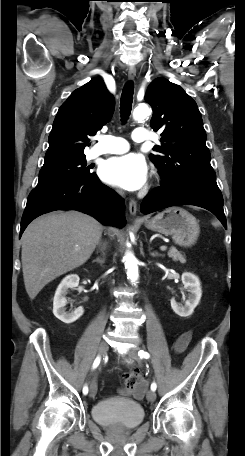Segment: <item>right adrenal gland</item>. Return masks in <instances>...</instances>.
I'll use <instances>...</instances> for the list:
<instances>
[{"mask_svg": "<svg viewBox=\"0 0 245 456\" xmlns=\"http://www.w3.org/2000/svg\"><path fill=\"white\" fill-rule=\"evenodd\" d=\"M102 255H103V257L105 256V253H104L103 251H102ZM94 261H96V262H98V263H103V262H104V258H103V259L97 258V259L94 260Z\"/></svg>", "mask_w": 245, "mask_h": 456, "instance_id": "obj_1", "label": "right adrenal gland"}]
</instances>
